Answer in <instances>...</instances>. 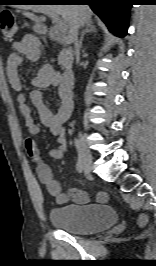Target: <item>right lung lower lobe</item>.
Listing matches in <instances>:
<instances>
[{
    "mask_svg": "<svg viewBox=\"0 0 156 266\" xmlns=\"http://www.w3.org/2000/svg\"><path fill=\"white\" fill-rule=\"evenodd\" d=\"M47 4L90 5L92 10L105 22L109 30L124 37L128 29L129 10L132 0H51Z\"/></svg>",
    "mask_w": 156,
    "mask_h": 266,
    "instance_id": "right-lung-lower-lobe-1",
    "label": "right lung lower lobe"
}]
</instances>
